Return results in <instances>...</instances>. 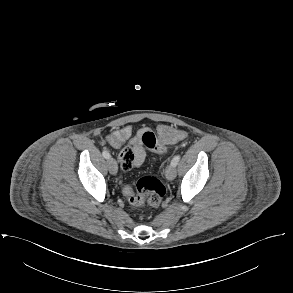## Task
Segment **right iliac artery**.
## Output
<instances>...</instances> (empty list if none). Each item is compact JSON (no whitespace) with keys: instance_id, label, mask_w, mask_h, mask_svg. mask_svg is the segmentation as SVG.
I'll return each mask as SVG.
<instances>
[{"instance_id":"82829eb1","label":"right iliac artery","mask_w":293,"mask_h":293,"mask_svg":"<svg viewBox=\"0 0 293 293\" xmlns=\"http://www.w3.org/2000/svg\"><path fill=\"white\" fill-rule=\"evenodd\" d=\"M102 154H103L104 158H106V159H109V158H110V153H109V151H107V150H103Z\"/></svg>"}]
</instances>
